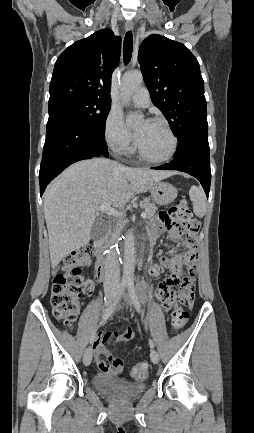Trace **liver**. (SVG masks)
Here are the masks:
<instances>
[{"label":"liver","instance_id":"obj_1","mask_svg":"<svg viewBox=\"0 0 254 433\" xmlns=\"http://www.w3.org/2000/svg\"><path fill=\"white\" fill-rule=\"evenodd\" d=\"M174 174L127 167L105 158L79 161L67 168L44 194L52 268L89 243L96 218V211L89 209L104 203L123 207L134 193L146 192L154 182Z\"/></svg>","mask_w":254,"mask_h":433}]
</instances>
